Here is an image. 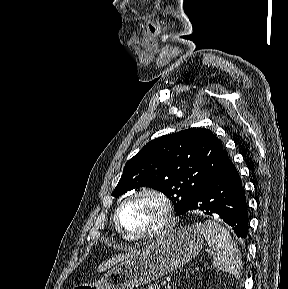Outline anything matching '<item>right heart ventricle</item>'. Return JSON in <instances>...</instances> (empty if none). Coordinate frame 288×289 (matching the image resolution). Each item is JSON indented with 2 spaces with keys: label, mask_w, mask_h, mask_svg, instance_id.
<instances>
[{
  "label": "right heart ventricle",
  "mask_w": 288,
  "mask_h": 289,
  "mask_svg": "<svg viewBox=\"0 0 288 289\" xmlns=\"http://www.w3.org/2000/svg\"><path fill=\"white\" fill-rule=\"evenodd\" d=\"M113 220H114V224H115V214H114ZM115 227H116V224H115ZM116 229H117V227H116ZM117 231H118L119 235L122 237V239H124V240H129L127 237H125L124 235H122V234L119 232L118 229H117Z\"/></svg>",
  "instance_id": "obj_1"
}]
</instances>
